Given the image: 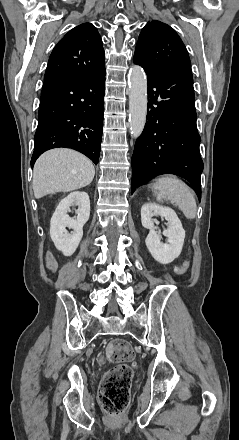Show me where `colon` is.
Returning a JSON list of instances; mask_svg holds the SVG:
<instances>
[{
	"mask_svg": "<svg viewBox=\"0 0 239 440\" xmlns=\"http://www.w3.org/2000/svg\"><path fill=\"white\" fill-rule=\"evenodd\" d=\"M188 262L174 269V273L186 271ZM106 357L115 364L103 376L99 397L104 410L110 414H121L128 405L133 369L125 362L134 357L130 343L123 339H114L106 349Z\"/></svg>",
	"mask_w": 239,
	"mask_h": 440,
	"instance_id": "1",
	"label": "colon"
}]
</instances>
